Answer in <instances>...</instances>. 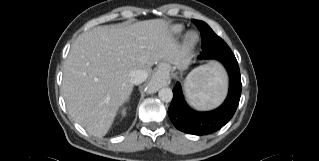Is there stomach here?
<instances>
[{"label":"stomach","instance_id":"0dacf381","mask_svg":"<svg viewBox=\"0 0 319 161\" xmlns=\"http://www.w3.org/2000/svg\"><path fill=\"white\" fill-rule=\"evenodd\" d=\"M171 70H172V67L170 66V64L166 62H162L158 66V72L165 78H168Z\"/></svg>","mask_w":319,"mask_h":161}]
</instances>
